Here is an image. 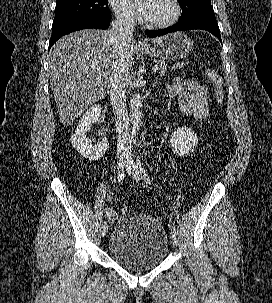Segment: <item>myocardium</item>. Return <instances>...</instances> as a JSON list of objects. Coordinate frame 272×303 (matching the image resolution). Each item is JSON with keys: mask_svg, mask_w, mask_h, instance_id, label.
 <instances>
[{"mask_svg": "<svg viewBox=\"0 0 272 303\" xmlns=\"http://www.w3.org/2000/svg\"><path fill=\"white\" fill-rule=\"evenodd\" d=\"M171 4H172V8H173V12L171 14V16L164 20V21H160V22H149L146 21L145 25L148 28H156V29H163V28H167L172 26L173 24H175L178 19L180 18L181 15V5L179 3V0H170Z\"/></svg>", "mask_w": 272, "mask_h": 303, "instance_id": "obj_1", "label": "myocardium"}]
</instances>
